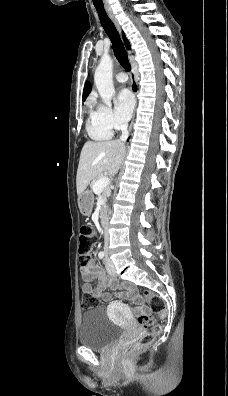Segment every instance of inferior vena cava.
<instances>
[{"label":"inferior vena cava","mask_w":228,"mask_h":396,"mask_svg":"<svg viewBox=\"0 0 228 396\" xmlns=\"http://www.w3.org/2000/svg\"><path fill=\"white\" fill-rule=\"evenodd\" d=\"M121 131H122V135L120 137V141L125 142L128 138V123L127 122H124L121 125ZM104 240H105L104 250L107 253L108 252L109 236H108V231L106 228H105V232H104Z\"/></svg>","instance_id":"1"}]
</instances>
